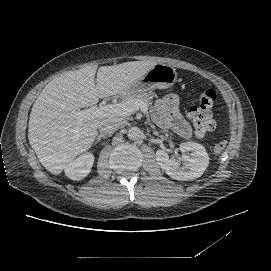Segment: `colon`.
<instances>
[{
	"label": "colon",
	"instance_id": "5ec220e1",
	"mask_svg": "<svg viewBox=\"0 0 271 271\" xmlns=\"http://www.w3.org/2000/svg\"><path fill=\"white\" fill-rule=\"evenodd\" d=\"M215 100L216 93L211 89L200 91L192 99L189 117L198 136H204L213 131L216 127L212 115V108ZM226 146V141H220L215 145L214 150L217 154H220L225 150Z\"/></svg>",
	"mask_w": 271,
	"mask_h": 271
}]
</instances>
